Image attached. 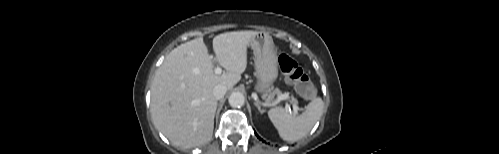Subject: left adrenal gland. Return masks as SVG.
<instances>
[{"label":"left adrenal gland","mask_w":499,"mask_h":154,"mask_svg":"<svg viewBox=\"0 0 499 154\" xmlns=\"http://www.w3.org/2000/svg\"><path fill=\"white\" fill-rule=\"evenodd\" d=\"M254 104L257 106V108H258V110H259V112H260V113H263V112H264V110H263V109H261V107L259 106V104H258V103H254Z\"/></svg>","instance_id":"obj_1"}]
</instances>
